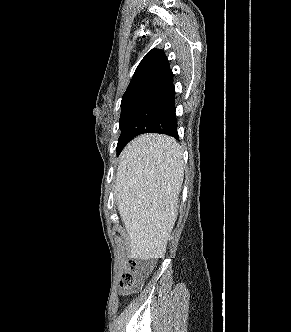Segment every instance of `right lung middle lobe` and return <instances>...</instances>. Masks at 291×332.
I'll return each mask as SVG.
<instances>
[{"mask_svg": "<svg viewBox=\"0 0 291 332\" xmlns=\"http://www.w3.org/2000/svg\"><path fill=\"white\" fill-rule=\"evenodd\" d=\"M144 97L145 96L143 95H139L123 99L121 101V116L119 120V128L121 130V135L117 144V153H119L125 141L124 131L133 116L134 109L139 105V103Z\"/></svg>", "mask_w": 291, "mask_h": 332, "instance_id": "obj_1", "label": "right lung middle lobe"}]
</instances>
